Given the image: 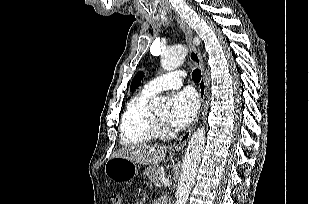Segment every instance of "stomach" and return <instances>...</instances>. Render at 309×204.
Here are the masks:
<instances>
[{
	"mask_svg": "<svg viewBox=\"0 0 309 204\" xmlns=\"http://www.w3.org/2000/svg\"><path fill=\"white\" fill-rule=\"evenodd\" d=\"M105 174L116 182L132 180L138 174L136 163L121 157H112L105 164Z\"/></svg>",
	"mask_w": 309,
	"mask_h": 204,
	"instance_id": "0dacf381",
	"label": "stomach"
}]
</instances>
